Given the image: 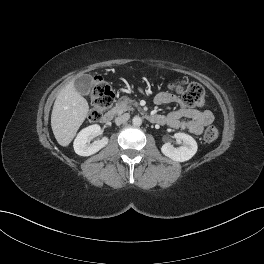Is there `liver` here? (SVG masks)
<instances>
[{
    "instance_id": "liver-1",
    "label": "liver",
    "mask_w": 264,
    "mask_h": 264,
    "mask_svg": "<svg viewBox=\"0 0 264 264\" xmlns=\"http://www.w3.org/2000/svg\"><path fill=\"white\" fill-rule=\"evenodd\" d=\"M88 112L87 100L70 81L57 95L51 114L53 134L61 146L71 143Z\"/></svg>"
}]
</instances>
